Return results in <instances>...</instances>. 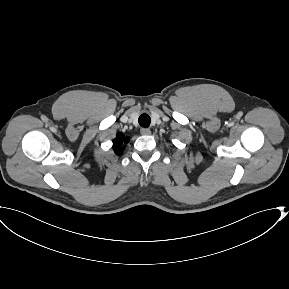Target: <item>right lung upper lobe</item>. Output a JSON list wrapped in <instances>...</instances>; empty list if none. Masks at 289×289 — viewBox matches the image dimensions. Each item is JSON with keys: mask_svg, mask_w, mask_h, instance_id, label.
<instances>
[{"mask_svg": "<svg viewBox=\"0 0 289 289\" xmlns=\"http://www.w3.org/2000/svg\"><path fill=\"white\" fill-rule=\"evenodd\" d=\"M129 141V138L125 137L123 134H117L116 138L113 140V149L115 154L120 155L123 149V143Z\"/></svg>", "mask_w": 289, "mask_h": 289, "instance_id": "right-lung-upper-lobe-1", "label": "right lung upper lobe"}]
</instances>
